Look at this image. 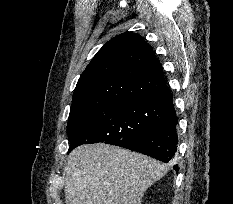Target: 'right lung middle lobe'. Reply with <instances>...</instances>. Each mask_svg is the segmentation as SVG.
<instances>
[{
	"instance_id": "obj_1",
	"label": "right lung middle lobe",
	"mask_w": 233,
	"mask_h": 204,
	"mask_svg": "<svg viewBox=\"0 0 233 204\" xmlns=\"http://www.w3.org/2000/svg\"><path fill=\"white\" fill-rule=\"evenodd\" d=\"M161 115L152 98L118 101L89 112L68 124L69 152L82 143L116 144L159 127Z\"/></svg>"
}]
</instances>
